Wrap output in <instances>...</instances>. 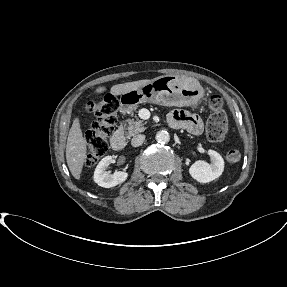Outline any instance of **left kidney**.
<instances>
[{
	"mask_svg": "<svg viewBox=\"0 0 287 287\" xmlns=\"http://www.w3.org/2000/svg\"><path fill=\"white\" fill-rule=\"evenodd\" d=\"M208 155L211 158V164L199 160L189 168L191 177L200 183H208L215 180L221 176L224 170V160L218 152L210 149L208 150Z\"/></svg>",
	"mask_w": 287,
	"mask_h": 287,
	"instance_id": "left-kidney-1",
	"label": "left kidney"
}]
</instances>
